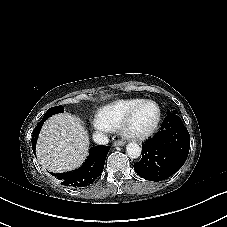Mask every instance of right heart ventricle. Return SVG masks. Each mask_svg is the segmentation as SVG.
I'll use <instances>...</instances> for the list:
<instances>
[{
	"instance_id": "e07e8e85",
	"label": "right heart ventricle",
	"mask_w": 227,
	"mask_h": 227,
	"mask_svg": "<svg viewBox=\"0 0 227 227\" xmlns=\"http://www.w3.org/2000/svg\"><path fill=\"white\" fill-rule=\"evenodd\" d=\"M142 99H120L100 108L94 122L97 126H107L110 129L117 127L125 115Z\"/></svg>"
}]
</instances>
